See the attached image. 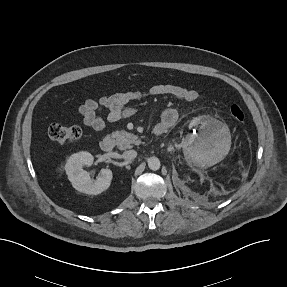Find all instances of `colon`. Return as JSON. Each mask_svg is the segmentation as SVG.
Masks as SVG:
<instances>
[{
  "instance_id": "1",
  "label": "colon",
  "mask_w": 287,
  "mask_h": 287,
  "mask_svg": "<svg viewBox=\"0 0 287 287\" xmlns=\"http://www.w3.org/2000/svg\"><path fill=\"white\" fill-rule=\"evenodd\" d=\"M230 116L238 121L243 122L245 119V112L239 103H232L229 107ZM48 137L60 144H70L78 140L81 136V129L79 126L70 125L64 126L59 124H51L47 129Z\"/></svg>"
}]
</instances>
